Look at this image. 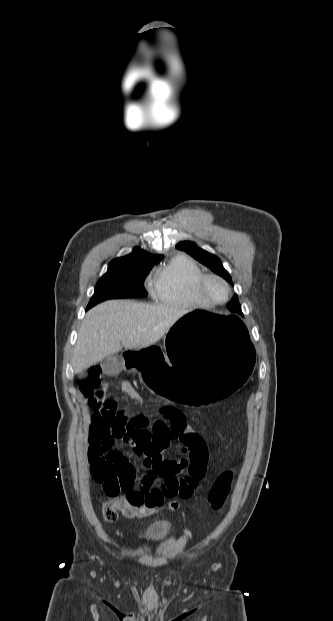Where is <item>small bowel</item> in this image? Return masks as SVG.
<instances>
[{"instance_id": "obj_1", "label": "small bowel", "mask_w": 333, "mask_h": 621, "mask_svg": "<svg viewBox=\"0 0 333 621\" xmlns=\"http://www.w3.org/2000/svg\"><path fill=\"white\" fill-rule=\"evenodd\" d=\"M119 366L117 357H107L100 364L89 367L79 382L85 403L94 410L87 447L91 474L102 462L123 468L128 458L118 445H126L144 457L143 463L148 469L123 496L132 507L163 506L166 499L190 498L207 471L208 450L204 440L175 406L157 407L160 418L152 423L146 416L132 417L119 410L117 402L106 396L101 381L103 373H113ZM121 388L125 395L142 402L140 394L130 383L122 382ZM173 439H178L181 445L183 457L178 461L165 459L162 455Z\"/></svg>"}]
</instances>
